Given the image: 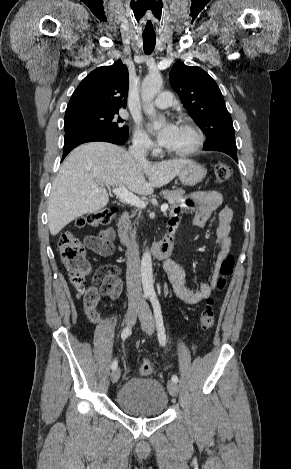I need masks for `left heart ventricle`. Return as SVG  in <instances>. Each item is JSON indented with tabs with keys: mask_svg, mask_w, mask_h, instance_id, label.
<instances>
[{
	"mask_svg": "<svg viewBox=\"0 0 291 469\" xmlns=\"http://www.w3.org/2000/svg\"><path fill=\"white\" fill-rule=\"evenodd\" d=\"M194 142V134L190 128L178 125L171 142L165 146L168 150L181 151L188 149Z\"/></svg>",
	"mask_w": 291,
	"mask_h": 469,
	"instance_id": "1",
	"label": "left heart ventricle"
}]
</instances>
